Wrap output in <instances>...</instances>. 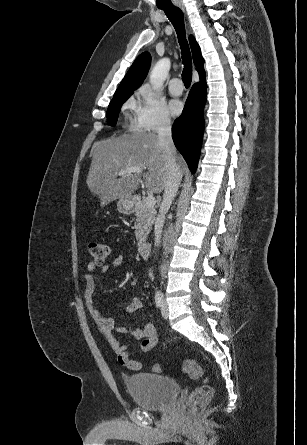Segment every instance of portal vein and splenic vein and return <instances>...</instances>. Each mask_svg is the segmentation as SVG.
I'll list each match as a JSON object with an SVG mask.
<instances>
[{
	"instance_id": "obj_1",
	"label": "portal vein and splenic vein",
	"mask_w": 307,
	"mask_h": 445,
	"mask_svg": "<svg viewBox=\"0 0 307 445\" xmlns=\"http://www.w3.org/2000/svg\"><path fill=\"white\" fill-rule=\"evenodd\" d=\"M128 172H143V170L140 166H130V168H125V170H120L118 174L122 176V174H128ZM145 202L146 206H154V204H156L155 196H153V194H147Z\"/></svg>"
}]
</instances>
